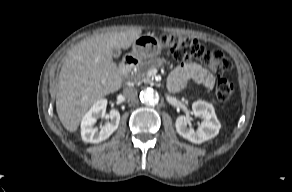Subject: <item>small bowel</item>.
Instances as JSON below:
<instances>
[{"label":"small bowel","mask_w":292,"mask_h":192,"mask_svg":"<svg viewBox=\"0 0 292 192\" xmlns=\"http://www.w3.org/2000/svg\"><path fill=\"white\" fill-rule=\"evenodd\" d=\"M189 81L210 89L213 87L214 77L196 63H182L172 73L168 86L171 91H178Z\"/></svg>","instance_id":"c3829d8e"}]
</instances>
